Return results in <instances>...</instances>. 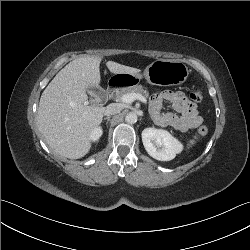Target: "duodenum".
I'll list each match as a JSON object with an SVG mask.
<instances>
[{
	"label": "duodenum",
	"instance_id": "410a0bca",
	"mask_svg": "<svg viewBox=\"0 0 250 250\" xmlns=\"http://www.w3.org/2000/svg\"><path fill=\"white\" fill-rule=\"evenodd\" d=\"M121 85V81L120 80H114L111 81L106 89V93L108 97H111L115 90Z\"/></svg>",
	"mask_w": 250,
	"mask_h": 250
}]
</instances>
